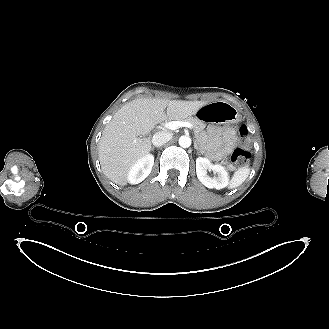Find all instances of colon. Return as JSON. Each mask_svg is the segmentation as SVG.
Returning a JSON list of instances; mask_svg holds the SVG:
<instances>
[{
  "label": "colon",
  "instance_id": "colon-1",
  "mask_svg": "<svg viewBox=\"0 0 329 329\" xmlns=\"http://www.w3.org/2000/svg\"><path fill=\"white\" fill-rule=\"evenodd\" d=\"M250 135L248 128L243 125L239 129V147L233 152L232 160L238 166L246 165L251 159L249 149Z\"/></svg>",
  "mask_w": 329,
  "mask_h": 329
}]
</instances>
